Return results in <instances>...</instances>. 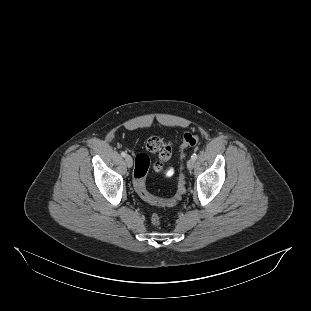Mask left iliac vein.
I'll use <instances>...</instances> for the list:
<instances>
[{"label": "left iliac vein", "mask_w": 311, "mask_h": 311, "mask_svg": "<svg viewBox=\"0 0 311 311\" xmlns=\"http://www.w3.org/2000/svg\"><path fill=\"white\" fill-rule=\"evenodd\" d=\"M194 166H195V160L190 159V160L187 162V168H188L189 170H192V169L194 168Z\"/></svg>", "instance_id": "4c4485c4"}]
</instances>
